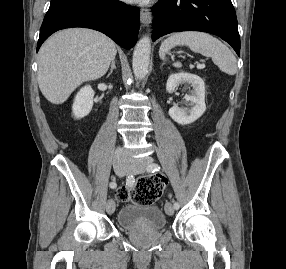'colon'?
Listing matches in <instances>:
<instances>
[{"mask_svg":"<svg viewBox=\"0 0 286 269\" xmlns=\"http://www.w3.org/2000/svg\"><path fill=\"white\" fill-rule=\"evenodd\" d=\"M164 185L165 179L161 176L140 177L135 187H122L117 190L116 196L121 201L147 205L159 197Z\"/></svg>","mask_w":286,"mask_h":269,"instance_id":"obj_1","label":"colon"}]
</instances>
